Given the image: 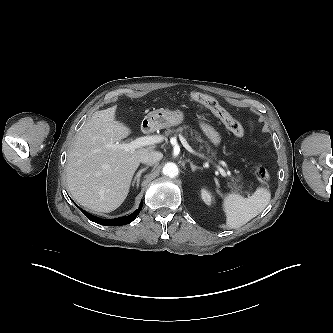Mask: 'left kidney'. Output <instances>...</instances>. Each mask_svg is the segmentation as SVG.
Returning <instances> with one entry per match:
<instances>
[{
	"label": "left kidney",
	"mask_w": 333,
	"mask_h": 333,
	"mask_svg": "<svg viewBox=\"0 0 333 333\" xmlns=\"http://www.w3.org/2000/svg\"><path fill=\"white\" fill-rule=\"evenodd\" d=\"M201 197H202V200L205 202V204H207V205L211 204L212 197H211V194L206 189L201 190Z\"/></svg>",
	"instance_id": "5707ae66"
}]
</instances>
